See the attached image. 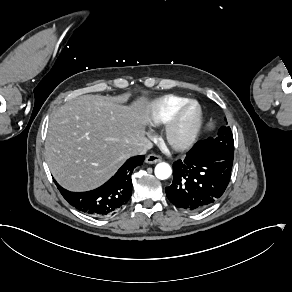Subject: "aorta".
I'll use <instances>...</instances> for the list:
<instances>
[{
	"label": "aorta",
	"instance_id": "obj_1",
	"mask_svg": "<svg viewBox=\"0 0 292 292\" xmlns=\"http://www.w3.org/2000/svg\"><path fill=\"white\" fill-rule=\"evenodd\" d=\"M172 170L167 163H159L155 167V176L158 179L165 180L171 176Z\"/></svg>",
	"mask_w": 292,
	"mask_h": 292
}]
</instances>
